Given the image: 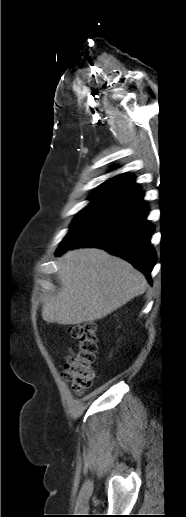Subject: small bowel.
I'll return each mask as SVG.
<instances>
[{"label": "small bowel", "mask_w": 186, "mask_h": 517, "mask_svg": "<svg viewBox=\"0 0 186 517\" xmlns=\"http://www.w3.org/2000/svg\"><path fill=\"white\" fill-rule=\"evenodd\" d=\"M72 356V350H69V353L64 357V361L67 362Z\"/></svg>", "instance_id": "1"}]
</instances>
